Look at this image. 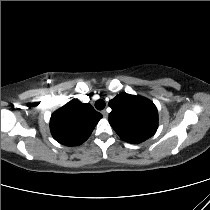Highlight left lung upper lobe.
I'll use <instances>...</instances> for the list:
<instances>
[{
	"label": "left lung upper lobe",
	"instance_id": "left-lung-upper-lobe-1",
	"mask_svg": "<svg viewBox=\"0 0 210 210\" xmlns=\"http://www.w3.org/2000/svg\"><path fill=\"white\" fill-rule=\"evenodd\" d=\"M109 123L126 142L140 143L153 136L158 127V112L150 100L121 93L109 102Z\"/></svg>",
	"mask_w": 210,
	"mask_h": 210
}]
</instances>
